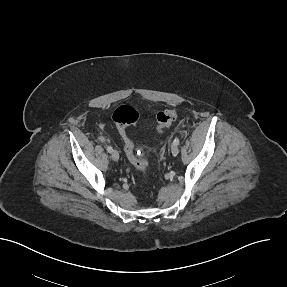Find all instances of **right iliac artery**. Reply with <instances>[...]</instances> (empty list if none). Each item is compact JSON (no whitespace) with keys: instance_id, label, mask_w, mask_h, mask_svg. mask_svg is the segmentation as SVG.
<instances>
[{"instance_id":"right-iliac-artery-1","label":"right iliac artery","mask_w":287,"mask_h":287,"mask_svg":"<svg viewBox=\"0 0 287 287\" xmlns=\"http://www.w3.org/2000/svg\"><path fill=\"white\" fill-rule=\"evenodd\" d=\"M112 147L111 146H107V151L109 152V153H111L112 152Z\"/></svg>"}]
</instances>
